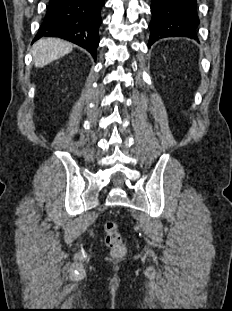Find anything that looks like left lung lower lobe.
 Returning <instances> with one entry per match:
<instances>
[{"mask_svg": "<svg viewBox=\"0 0 232 311\" xmlns=\"http://www.w3.org/2000/svg\"><path fill=\"white\" fill-rule=\"evenodd\" d=\"M151 11L149 47L165 37L197 38V0H152Z\"/></svg>", "mask_w": 232, "mask_h": 311, "instance_id": "0a47b994", "label": "left lung lower lobe"}]
</instances>
